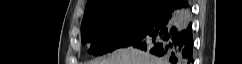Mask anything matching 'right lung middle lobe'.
<instances>
[{
    "label": "right lung middle lobe",
    "mask_w": 242,
    "mask_h": 64,
    "mask_svg": "<svg viewBox=\"0 0 242 64\" xmlns=\"http://www.w3.org/2000/svg\"><path fill=\"white\" fill-rule=\"evenodd\" d=\"M160 12L132 9L95 17L81 24V41L91 43L89 53L102 55L131 46L159 19Z\"/></svg>",
    "instance_id": "1"
}]
</instances>
